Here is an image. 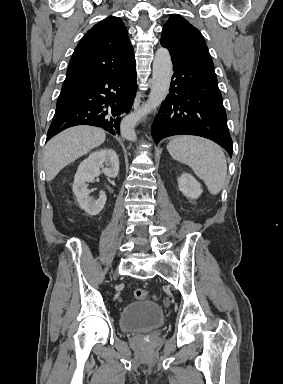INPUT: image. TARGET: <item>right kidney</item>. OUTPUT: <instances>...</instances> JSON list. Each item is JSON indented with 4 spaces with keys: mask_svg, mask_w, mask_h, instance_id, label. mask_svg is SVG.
I'll return each instance as SVG.
<instances>
[{
    "mask_svg": "<svg viewBox=\"0 0 283 384\" xmlns=\"http://www.w3.org/2000/svg\"><path fill=\"white\" fill-rule=\"evenodd\" d=\"M106 166V168H105ZM119 172V160L114 150H99L90 154L87 160L81 162L74 178L72 190L78 200V204L89 216H97L105 206L106 194H99L98 200L89 196L92 190H87L88 182H94V178L105 174L108 178H117Z\"/></svg>",
    "mask_w": 283,
    "mask_h": 384,
    "instance_id": "right-kidney-1",
    "label": "right kidney"
}]
</instances>
